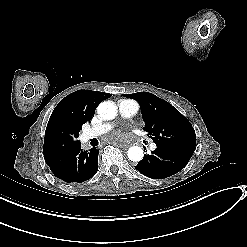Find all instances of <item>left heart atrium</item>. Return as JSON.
<instances>
[{
    "label": "left heart atrium",
    "instance_id": "left-heart-atrium-1",
    "mask_svg": "<svg viewBox=\"0 0 247 247\" xmlns=\"http://www.w3.org/2000/svg\"><path fill=\"white\" fill-rule=\"evenodd\" d=\"M100 135V142L102 144H111L117 147H125L126 143L128 140L135 134V131H129V130H124L121 127L118 129L101 134Z\"/></svg>",
    "mask_w": 247,
    "mask_h": 247
}]
</instances>
